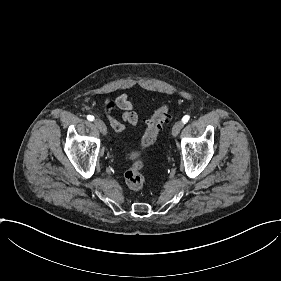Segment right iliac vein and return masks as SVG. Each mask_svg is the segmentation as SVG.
Wrapping results in <instances>:
<instances>
[{
  "instance_id": "right-iliac-vein-1",
  "label": "right iliac vein",
  "mask_w": 281,
  "mask_h": 281,
  "mask_svg": "<svg viewBox=\"0 0 281 281\" xmlns=\"http://www.w3.org/2000/svg\"><path fill=\"white\" fill-rule=\"evenodd\" d=\"M95 124H97V128L103 131V135H107V127L106 124L103 123V121H100V119H95Z\"/></svg>"
}]
</instances>
